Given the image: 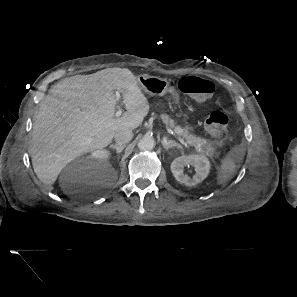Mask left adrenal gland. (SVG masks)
Segmentation results:
<instances>
[{
    "instance_id": "obj_1",
    "label": "left adrenal gland",
    "mask_w": 297,
    "mask_h": 297,
    "mask_svg": "<svg viewBox=\"0 0 297 297\" xmlns=\"http://www.w3.org/2000/svg\"><path fill=\"white\" fill-rule=\"evenodd\" d=\"M164 149L166 151H168V149L172 148V147H177L179 149H182V146L180 144H178L177 142H175L174 140H162L161 141Z\"/></svg>"
}]
</instances>
